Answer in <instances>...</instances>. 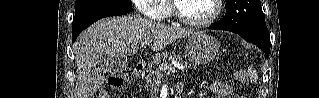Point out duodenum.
I'll return each instance as SVG.
<instances>
[{"label": "duodenum", "mask_w": 319, "mask_h": 98, "mask_svg": "<svg viewBox=\"0 0 319 98\" xmlns=\"http://www.w3.org/2000/svg\"><path fill=\"white\" fill-rule=\"evenodd\" d=\"M145 67H146V63L145 62H140L138 63L135 67H134V70H133V75L135 77H141L144 70H145Z\"/></svg>", "instance_id": "1"}]
</instances>
